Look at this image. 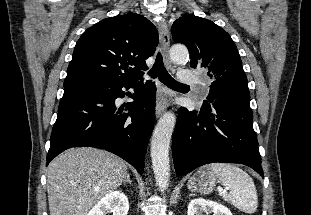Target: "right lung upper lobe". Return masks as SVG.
I'll return each mask as SVG.
<instances>
[{
  "label": "right lung upper lobe",
  "instance_id": "cb5924a9",
  "mask_svg": "<svg viewBox=\"0 0 311 215\" xmlns=\"http://www.w3.org/2000/svg\"><path fill=\"white\" fill-rule=\"evenodd\" d=\"M157 44L156 27L142 15L130 12L101 20L77 41L64 87L98 80H142L145 60Z\"/></svg>",
  "mask_w": 311,
  "mask_h": 215
}]
</instances>
